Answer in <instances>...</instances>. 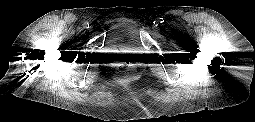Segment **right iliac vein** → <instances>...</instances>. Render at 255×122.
<instances>
[{"label":"right iliac vein","mask_w":255,"mask_h":122,"mask_svg":"<svg viewBox=\"0 0 255 122\" xmlns=\"http://www.w3.org/2000/svg\"><path fill=\"white\" fill-rule=\"evenodd\" d=\"M89 30H93V27H90V29Z\"/></svg>","instance_id":"right-iliac-vein-1"}]
</instances>
